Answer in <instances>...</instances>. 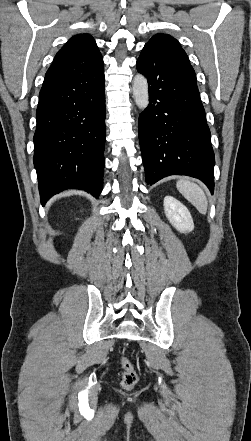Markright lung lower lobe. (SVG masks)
<instances>
[{
	"mask_svg": "<svg viewBox=\"0 0 251 441\" xmlns=\"http://www.w3.org/2000/svg\"><path fill=\"white\" fill-rule=\"evenodd\" d=\"M105 115L103 66L72 76H45L34 134V166L43 205L70 188L99 197Z\"/></svg>",
	"mask_w": 251,
	"mask_h": 441,
	"instance_id": "98d812e1",
	"label": "right lung lower lobe"
}]
</instances>
